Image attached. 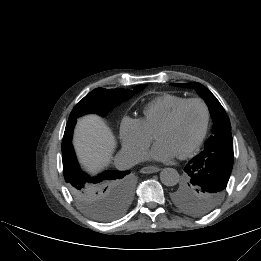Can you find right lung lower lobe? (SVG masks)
Listing matches in <instances>:
<instances>
[{"label":"right lung lower lobe","mask_w":261,"mask_h":261,"mask_svg":"<svg viewBox=\"0 0 261 261\" xmlns=\"http://www.w3.org/2000/svg\"><path fill=\"white\" fill-rule=\"evenodd\" d=\"M75 123H76V119L68 120V122L66 124V128H65L63 140H62L63 172L65 174H70L73 172H80L81 175L84 177L83 181H85L87 183H94V182L100 181L102 179L126 175V174L130 173L129 171H126V172L107 171L97 177H89L88 175L83 173L76 160L74 149H73V146L71 143Z\"/></svg>","instance_id":"98d812e1"}]
</instances>
